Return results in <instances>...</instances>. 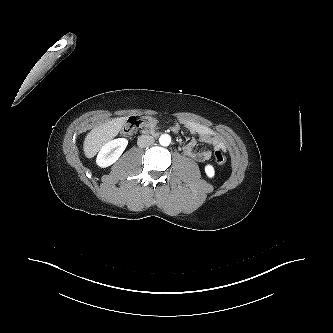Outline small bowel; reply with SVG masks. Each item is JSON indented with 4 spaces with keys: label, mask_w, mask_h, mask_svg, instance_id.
<instances>
[{
    "label": "small bowel",
    "mask_w": 333,
    "mask_h": 333,
    "mask_svg": "<svg viewBox=\"0 0 333 333\" xmlns=\"http://www.w3.org/2000/svg\"><path fill=\"white\" fill-rule=\"evenodd\" d=\"M146 123L143 129L144 133H157L158 132V121L155 117H148L145 119ZM183 126L193 134L197 136L200 140L205 143L211 144L215 150H225V145L223 141L219 138V136L209 127L191 121V120H179L175 125L174 129H178L179 126ZM196 138L190 140L184 146V153L198 162H204L211 158L213 151L206 149V150H197L196 149Z\"/></svg>",
    "instance_id": "c3829d8e"
}]
</instances>
